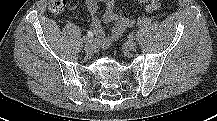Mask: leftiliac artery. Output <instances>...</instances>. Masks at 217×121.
Returning a JSON list of instances; mask_svg holds the SVG:
<instances>
[{
  "instance_id": "1",
  "label": "left iliac artery",
  "mask_w": 217,
  "mask_h": 121,
  "mask_svg": "<svg viewBox=\"0 0 217 121\" xmlns=\"http://www.w3.org/2000/svg\"><path fill=\"white\" fill-rule=\"evenodd\" d=\"M151 24V19L148 17H140L137 21V27H143Z\"/></svg>"
}]
</instances>
